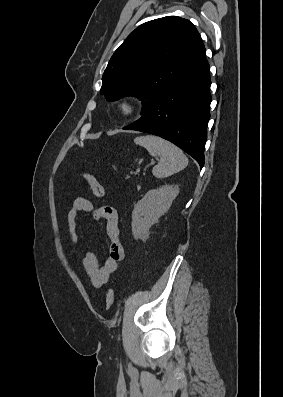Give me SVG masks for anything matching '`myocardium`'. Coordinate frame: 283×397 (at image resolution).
<instances>
[{"instance_id": "obj_1", "label": "myocardium", "mask_w": 283, "mask_h": 397, "mask_svg": "<svg viewBox=\"0 0 283 397\" xmlns=\"http://www.w3.org/2000/svg\"><path fill=\"white\" fill-rule=\"evenodd\" d=\"M137 110V104L131 99H122L117 103V112L123 117H132Z\"/></svg>"}]
</instances>
